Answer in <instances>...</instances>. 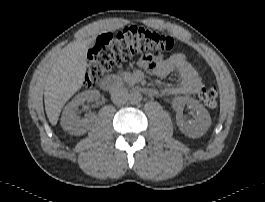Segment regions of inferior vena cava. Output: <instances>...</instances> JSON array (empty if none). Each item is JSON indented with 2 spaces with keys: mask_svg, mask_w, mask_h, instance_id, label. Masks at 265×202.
I'll return each instance as SVG.
<instances>
[{
  "mask_svg": "<svg viewBox=\"0 0 265 202\" xmlns=\"http://www.w3.org/2000/svg\"><path fill=\"white\" fill-rule=\"evenodd\" d=\"M111 100L116 105H123L129 100L128 90L123 86H116L111 91Z\"/></svg>",
  "mask_w": 265,
  "mask_h": 202,
  "instance_id": "602c4592",
  "label": "inferior vena cava"
}]
</instances>
